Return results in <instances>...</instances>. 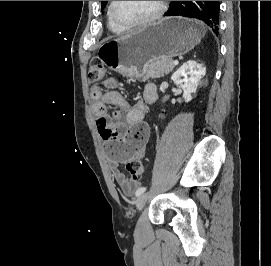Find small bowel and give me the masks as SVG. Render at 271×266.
I'll return each instance as SVG.
<instances>
[{
    "instance_id": "c3829d8e",
    "label": "small bowel",
    "mask_w": 271,
    "mask_h": 266,
    "mask_svg": "<svg viewBox=\"0 0 271 266\" xmlns=\"http://www.w3.org/2000/svg\"><path fill=\"white\" fill-rule=\"evenodd\" d=\"M112 86V83L109 84ZM92 112L97 130L106 144L109 168L124 194L130 195L139 182L128 179L119 169L121 163L143 158L149 137V128L144 122L147 106L155 102L156 89L149 84L143 99L130 106L116 89L106 92L100 86L91 88ZM108 105L115 107L113 120L108 114Z\"/></svg>"
}]
</instances>
